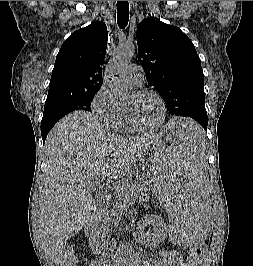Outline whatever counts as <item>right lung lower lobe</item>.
Returning <instances> with one entry per match:
<instances>
[{
    "instance_id": "right-lung-lower-lobe-1",
    "label": "right lung lower lobe",
    "mask_w": 253,
    "mask_h": 266,
    "mask_svg": "<svg viewBox=\"0 0 253 266\" xmlns=\"http://www.w3.org/2000/svg\"><path fill=\"white\" fill-rule=\"evenodd\" d=\"M50 129H51V128H44V129H41V135H42L43 142H45L46 137H47V134H48V132L50 131Z\"/></svg>"
}]
</instances>
